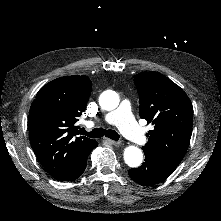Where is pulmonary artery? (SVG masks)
I'll return each mask as SVG.
<instances>
[{
	"instance_id": "pulmonary-artery-1",
	"label": "pulmonary artery",
	"mask_w": 221,
	"mask_h": 221,
	"mask_svg": "<svg viewBox=\"0 0 221 221\" xmlns=\"http://www.w3.org/2000/svg\"><path fill=\"white\" fill-rule=\"evenodd\" d=\"M134 107L130 101L124 100L118 104L117 110L113 109L107 113L106 119L110 125L120 128L133 144L139 145L145 141L144 128L138 125L132 116Z\"/></svg>"
}]
</instances>
